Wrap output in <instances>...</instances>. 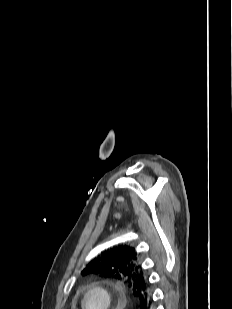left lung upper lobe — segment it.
I'll return each mask as SVG.
<instances>
[{
  "label": "left lung upper lobe",
  "instance_id": "5c2ea615",
  "mask_svg": "<svg viewBox=\"0 0 232 309\" xmlns=\"http://www.w3.org/2000/svg\"><path fill=\"white\" fill-rule=\"evenodd\" d=\"M88 274L124 282L138 304L151 299L149 283L144 278L138 254L133 247L119 245L103 251L82 271V275Z\"/></svg>",
  "mask_w": 232,
  "mask_h": 309
}]
</instances>
